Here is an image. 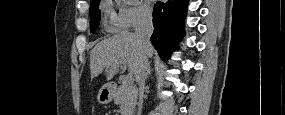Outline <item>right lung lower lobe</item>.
I'll return each instance as SVG.
<instances>
[{
  "instance_id": "right-lung-lower-lobe-1",
  "label": "right lung lower lobe",
  "mask_w": 285,
  "mask_h": 115,
  "mask_svg": "<svg viewBox=\"0 0 285 115\" xmlns=\"http://www.w3.org/2000/svg\"><path fill=\"white\" fill-rule=\"evenodd\" d=\"M188 0L157 2L153 9L154 33L151 42L162 60L167 61L177 49L175 43L184 35V19Z\"/></svg>"
}]
</instances>
